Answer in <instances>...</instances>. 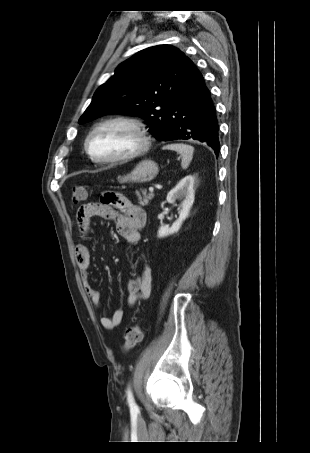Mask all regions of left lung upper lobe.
I'll return each mask as SVG.
<instances>
[{
  "instance_id": "obj_1",
  "label": "left lung upper lobe",
  "mask_w": 310,
  "mask_h": 453,
  "mask_svg": "<svg viewBox=\"0 0 310 453\" xmlns=\"http://www.w3.org/2000/svg\"><path fill=\"white\" fill-rule=\"evenodd\" d=\"M191 60L179 49L159 45L122 62L95 92L79 123L110 113L142 117L160 139L168 113L187 80Z\"/></svg>"
}]
</instances>
